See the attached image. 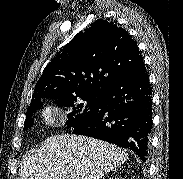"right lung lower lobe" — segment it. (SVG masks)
Instances as JSON below:
<instances>
[{
  "instance_id": "right-lung-lower-lobe-1",
  "label": "right lung lower lobe",
  "mask_w": 183,
  "mask_h": 179,
  "mask_svg": "<svg viewBox=\"0 0 183 179\" xmlns=\"http://www.w3.org/2000/svg\"><path fill=\"white\" fill-rule=\"evenodd\" d=\"M152 90L145 64L99 94L97 113L73 134L94 137L132 150L147 160L152 129Z\"/></svg>"
}]
</instances>
